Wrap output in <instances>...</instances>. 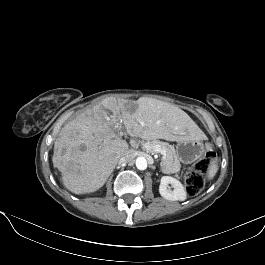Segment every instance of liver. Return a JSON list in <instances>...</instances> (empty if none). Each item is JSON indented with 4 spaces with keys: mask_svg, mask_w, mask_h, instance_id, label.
<instances>
[{
    "mask_svg": "<svg viewBox=\"0 0 265 265\" xmlns=\"http://www.w3.org/2000/svg\"><path fill=\"white\" fill-rule=\"evenodd\" d=\"M136 104L130 112L127 101L106 98L64 125L54 142L52 161L69 191L91 193L105 184L129 148L116 135L122 125L130 130L139 122L138 134L148 139H200L201 130L178 107L153 98H139Z\"/></svg>",
    "mask_w": 265,
    "mask_h": 265,
    "instance_id": "1",
    "label": "liver"
}]
</instances>
